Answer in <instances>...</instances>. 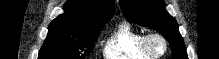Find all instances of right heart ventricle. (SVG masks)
I'll return each mask as SVG.
<instances>
[{"mask_svg": "<svg viewBox=\"0 0 219 59\" xmlns=\"http://www.w3.org/2000/svg\"><path fill=\"white\" fill-rule=\"evenodd\" d=\"M144 33L121 22L108 38L103 54L107 59H153L144 49Z\"/></svg>", "mask_w": 219, "mask_h": 59, "instance_id": "obj_1", "label": "right heart ventricle"}]
</instances>
